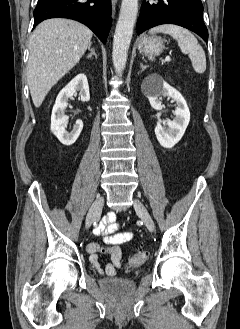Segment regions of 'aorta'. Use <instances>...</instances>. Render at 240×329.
Instances as JSON below:
<instances>
[{
    "label": "aorta",
    "mask_w": 240,
    "mask_h": 329,
    "mask_svg": "<svg viewBox=\"0 0 240 329\" xmlns=\"http://www.w3.org/2000/svg\"><path fill=\"white\" fill-rule=\"evenodd\" d=\"M138 13V0H122L113 40L112 61L115 72L125 69L133 28Z\"/></svg>",
    "instance_id": "1"
}]
</instances>
